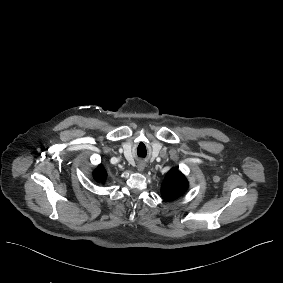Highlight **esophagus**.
<instances>
[{
    "label": "esophagus",
    "instance_id": "esophagus-1",
    "mask_svg": "<svg viewBox=\"0 0 283 283\" xmlns=\"http://www.w3.org/2000/svg\"><path fill=\"white\" fill-rule=\"evenodd\" d=\"M144 168H145V165H142V164H141V165L138 166V170H139V171H143Z\"/></svg>",
    "mask_w": 283,
    "mask_h": 283
}]
</instances>
